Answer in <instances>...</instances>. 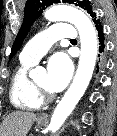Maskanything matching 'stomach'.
Returning a JSON list of instances; mask_svg holds the SVG:
<instances>
[{"mask_svg":"<svg viewBox=\"0 0 117 136\" xmlns=\"http://www.w3.org/2000/svg\"><path fill=\"white\" fill-rule=\"evenodd\" d=\"M36 122L38 125H43L45 123V120L42 118H38V119H36Z\"/></svg>","mask_w":117,"mask_h":136,"instance_id":"1","label":"stomach"}]
</instances>
